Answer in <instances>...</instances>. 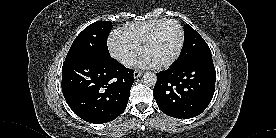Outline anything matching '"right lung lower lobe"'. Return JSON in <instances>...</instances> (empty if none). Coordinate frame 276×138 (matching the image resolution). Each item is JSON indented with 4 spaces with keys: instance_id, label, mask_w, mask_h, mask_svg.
Here are the masks:
<instances>
[{
    "instance_id": "98d812e1",
    "label": "right lung lower lobe",
    "mask_w": 276,
    "mask_h": 138,
    "mask_svg": "<svg viewBox=\"0 0 276 138\" xmlns=\"http://www.w3.org/2000/svg\"><path fill=\"white\" fill-rule=\"evenodd\" d=\"M133 82V70L111 56L78 55L63 63L64 98L76 115L90 123L117 118L127 106Z\"/></svg>"
}]
</instances>
